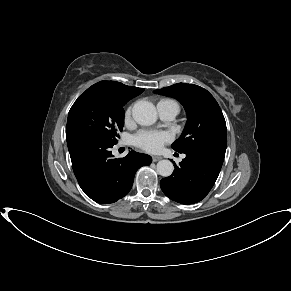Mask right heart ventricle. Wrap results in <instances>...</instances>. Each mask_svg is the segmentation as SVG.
<instances>
[{
    "instance_id": "1",
    "label": "right heart ventricle",
    "mask_w": 291,
    "mask_h": 291,
    "mask_svg": "<svg viewBox=\"0 0 291 291\" xmlns=\"http://www.w3.org/2000/svg\"><path fill=\"white\" fill-rule=\"evenodd\" d=\"M163 102H172V103H174V104L177 106V108H178V110H179V104H178L176 101L171 100V99H163V100H161L158 104H161V103H163Z\"/></svg>"
}]
</instances>
